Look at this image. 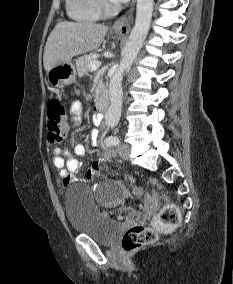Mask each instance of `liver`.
I'll list each match as a JSON object with an SVG mask.
<instances>
[{
  "label": "liver",
  "mask_w": 233,
  "mask_h": 284,
  "mask_svg": "<svg viewBox=\"0 0 233 284\" xmlns=\"http://www.w3.org/2000/svg\"><path fill=\"white\" fill-rule=\"evenodd\" d=\"M108 27L89 22H59L50 33L43 56L44 69L71 61L74 56L97 49Z\"/></svg>",
  "instance_id": "6515ba94"
}]
</instances>
